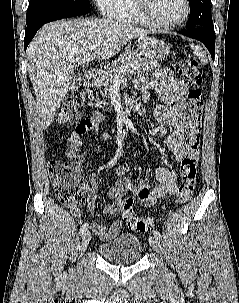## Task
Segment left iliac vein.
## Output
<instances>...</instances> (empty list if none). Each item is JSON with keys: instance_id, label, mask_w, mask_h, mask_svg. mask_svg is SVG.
<instances>
[{"instance_id": "left-iliac-vein-1", "label": "left iliac vein", "mask_w": 239, "mask_h": 303, "mask_svg": "<svg viewBox=\"0 0 239 303\" xmlns=\"http://www.w3.org/2000/svg\"><path fill=\"white\" fill-rule=\"evenodd\" d=\"M150 245L156 252L161 253L162 248L158 237H150Z\"/></svg>"}]
</instances>
